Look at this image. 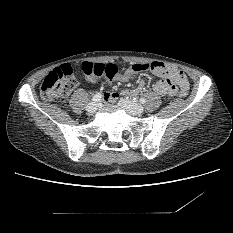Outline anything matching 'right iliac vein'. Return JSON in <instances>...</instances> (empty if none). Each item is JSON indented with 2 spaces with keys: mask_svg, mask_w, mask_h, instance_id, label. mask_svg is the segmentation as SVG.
Returning a JSON list of instances; mask_svg holds the SVG:
<instances>
[{
  "mask_svg": "<svg viewBox=\"0 0 233 233\" xmlns=\"http://www.w3.org/2000/svg\"><path fill=\"white\" fill-rule=\"evenodd\" d=\"M97 110V104L95 102H91L87 105V112L90 114L95 113Z\"/></svg>",
  "mask_w": 233,
  "mask_h": 233,
  "instance_id": "1",
  "label": "right iliac vein"
}]
</instances>
